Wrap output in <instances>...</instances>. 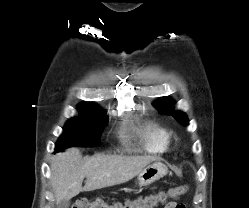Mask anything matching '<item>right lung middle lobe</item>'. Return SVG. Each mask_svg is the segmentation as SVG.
Wrapping results in <instances>:
<instances>
[{
	"mask_svg": "<svg viewBox=\"0 0 249 208\" xmlns=\"http://www.w3.org/2000/svg\"><path fill=\"white\" fill-rule=\"evenodd\" d=\"M108 121L104 113L79 110V116L67 121L59 137L55 152L71 146L90 147L98 143Z\"/></svg>",
	"mask_w": 249,
	"mask_h": 208,
	"instance_id": "right-lung-middle-lobe-1",
	"label": "right lung middle lobe"
}]
</instances>
